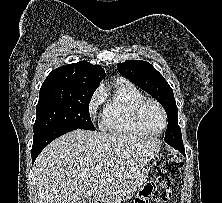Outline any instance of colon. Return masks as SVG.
I'll list each match as a JSON object with an SVG mask.
<instances>
[{
    "label": "colon",
    "mask_w": 222,
    "mask_h": 203,
    "mask_svg": "<svg viewBox=\"0 0 222 203\" xmlns=\"http://www.w3.org/2000/svg\"><path fill=\"white\" fill-rule=\"evenodd\" d=\"M182 170L181 161L169 154L161 164L155 179L140 191L136 203H165L169 197V186Z\"/></svg>",
    "instance_id": "5ec220e1"
}]
</instances>
